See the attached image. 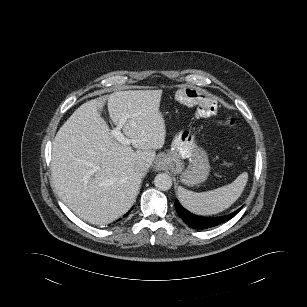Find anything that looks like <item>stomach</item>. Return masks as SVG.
Here are the masks:
<instances>
[{
  "label": "stomach",
  "mask_w": 307,
  "mask_h": 307,
  "mask_svg": "<svg viewBox=\"0 0 307 307\" xmlns=\"http://www.w3.org/2000/svg\"><path fill=\"white\" fill-rule=\"evenodd\" d=\"M185 158H189L186 168L183 162ZM157 167L180 174V181L188 186L204 182L210 172L207 152L197 145L189 131H181L175 137L172 148L158 158Z\"/></svg>",
  "instance_id": "0dacf381"
}]
</instances>
